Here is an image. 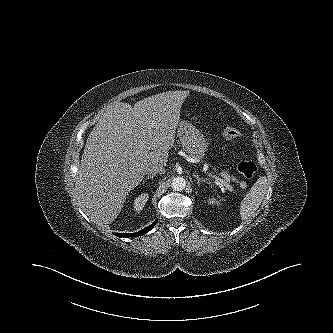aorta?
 I'll use <instances>...</instances> for the list:
<instances>
[{
	"mask_svg": "<svg viewBox=\"0 0 333 333\" xmlns=\"http://www.w3.org/2000/svg\"><path fill=\"white\" fill-rule=\"evenodd\" d=\"M171 186L175 191H182L186 186V181L183 177H176L172 180Z\"/></svg>",
	"mask_w": 333,
	"mask_h": 333,
	"instance_id": "aorta-1",
	"label": "aorta"
}]
</instances>
